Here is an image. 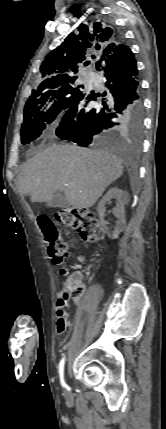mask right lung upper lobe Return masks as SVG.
<instances>
[{"instance_id": "obj_1", "label": "right lung upper lobe", "mask_w": 166, "mask_h": 429, "mask_svg": "<svg viewBox=\"0 0 166 429\" xmlns=\"http://www.w3.org/2000/svg\"><path fill=\"white\" fill-rule=\"evenodd\" d=\"M108 30L103 26L81 25L79 32L70 33L42 62L40 75L44 80L37 89H45L76 75L79 64L91 53H95L99 60L105 54L119 51L124 45L119 44L118 35Z\"/></svg>"}]
</instances>
